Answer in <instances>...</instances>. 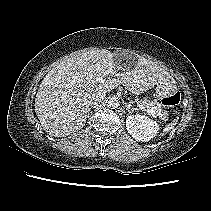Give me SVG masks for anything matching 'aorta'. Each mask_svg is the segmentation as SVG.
Wrapping results in <instances>:
<instances>
[{"label": "aorta", "instance_id": "1", "mask_svg": "<svg viewBox=\"0 0 211 211\" xmlns=\"http://www.w3.org/2000/svg\"><path fill=\"white\" fill-rule=\"evenodd\" d=\"M119 106V99L116 97H112L108 101V107L111 109H116Z\"/></svg>", "mask_w": 211, "mask_h": 211}]
</instances>
